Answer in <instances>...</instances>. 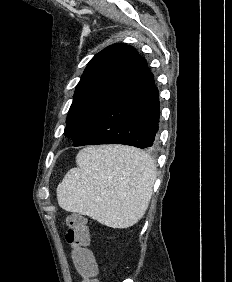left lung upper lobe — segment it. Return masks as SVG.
<instances>
[{
	"label": "left lung upper lobe",
	"mask_w": 232,
	"mask_h": 282,
	"mask_svg": "<svg viewBox=\"0 0 232 282\" xmlns=\"http://www.w3.org/2000/svg\"><path fill=\"white\" fill-rule=\"evenodd\" d=\"M140 59L135 48L116 43L88 63L76 86L64 130L74 146L90 138L101 109L129 78Z\"/></svg>",
	"instance_id": "1"
}]
</instances>
